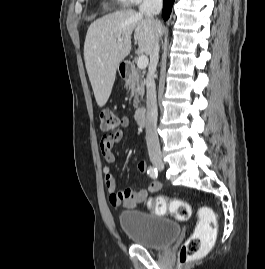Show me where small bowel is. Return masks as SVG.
<instances>
[{
    "label": "small bowel",
    "mask_w": 265,
    "mask_h": 269,
    "mask_svg": "<svg viewBox=\"0 0 265 269\" xmlns=\"http://www.w3.org/2000/svg\"><path fill=\"white\" fill-rule=\"evenodd\" d=\"M122 127L126 128L130 125L128 117L121 119ZM123 137V132L120 130L113 135L105 136L101 140L100 148L101 153L107 162L103 168L104 181L106 189L109 193V202L113 207L124 206L126 208L134 209L138 205L142 204L150 193H154L160 190L161 184L158 181L152 180L148 183L145 189L137 190L134 187H128L124 190H117V185L114 176L111 173L109 164H113L117 161L118 156L114 153L113 149L117 142ZM147 170V164L144 160H140L137 163V171L140 174H144Z\"/></svg>",
    "instance_id": "small-bowel-1"
}]
</instances>
